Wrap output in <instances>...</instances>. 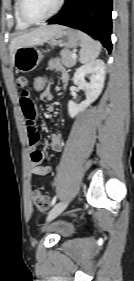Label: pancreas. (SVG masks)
<instances>
[{"mask_svg":"<svg viewBox=\"0 0 134 281\" xmlns=\"http://www.w3.org/2000/svg\"><path fill=\"white\" fill-rule=\"evenodd\" d=\"M62 57L61 62L66 67H73L76 64V59L72 58V51L69 49H62L60 52Z\"/></svg>","mask_w":134,"mask_h":281,"instance_id":"cf45deb5","label":"pancreas"}]
</instances>
